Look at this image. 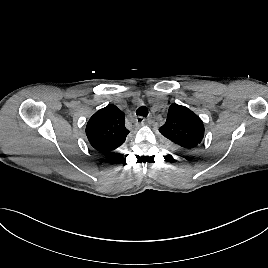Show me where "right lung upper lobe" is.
Masks as SVG:
<instances>
[{
  "label": "right lung upper lobe",
  "instance_id": "1",
  "mask_svg": "<svg viewBox=\"0 0 268 268\" xmlns=\"http://www.w3.org/2000/svg\"><path fill=\"white\" fill-rule=\"evenodd\" d=\"M128 133L123 112L113 104L98 110L86 126V135L91 146L105 154L113 153L121 146Z\"/></svg>",
  "mask_w": 268,
  "mask_h": 268
}]
</instances>
